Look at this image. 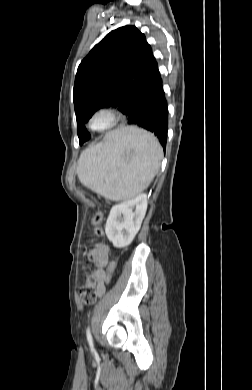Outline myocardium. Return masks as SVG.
Wrapping results in <instances>:
<instances>
[{
	"instance_id": "obj_1",
	"label": "myocardium",
	"mask_w": 252,
	"mask_h": 390,
	"mask_svg": "<svg viewBox=\"0 0 252 390\" xmlns=\"http://www.w3.org/2000/svg\"><path fill=\"white\" fill-rule=\"evenodd\" d=\"M104 116L107 119V122L104 126L102 127H96L95 126V120L100 117ZM120 120V114L118 110L112 107H100L96 109L92 115L89 118V127L93 131L97 132H107L114 128Z\"/></svg>"
}]
</instances>
